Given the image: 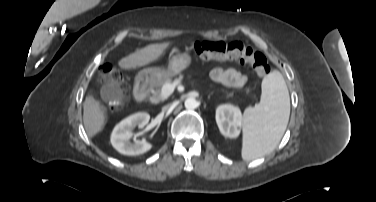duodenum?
<instances>
[{
  "label": "duodenum",
  "mask_w": 376,
  "mask_h": 202,
  "mask_svg": "<svg viewBox=\"0 0 376 202\" xmlns=\"http://www.w3.org/2000/svg\"><path fill=\"white\" fill-rule=\"evenodd\" d=\"M148 94V80L140 78L134 87V98L137 102H142Z\"/></svg>",
  "instance_id": "duodenum-1"
}]
</instances>
